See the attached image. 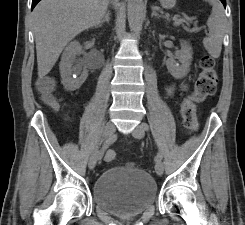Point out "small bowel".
<instances>
[{
    "label": "small bowel",
    "instance_id": "obj_1",
    "mask_svg": "<svg viewBox=\"0 0 245 225\" xmlns=\"http://www.w3.org/2000/svg\"><path fill=\"white\" fill-rule=\"evenodd\" d=\"M49 83H52V78L51 77H42L38 80V85L39 86H43V85H46V84H49ZM184 87V86H182ZM176 89V85L175 84H170L166 87V93L168 95H172L174 93ZM111 153H114L113 151H110ZM115 154V153H114ZM113 161V160H112Z\"/></svg>",
    "mask_w": 245,
    "mask_h": 225
}]
</instances>
